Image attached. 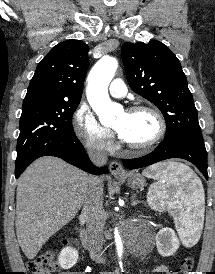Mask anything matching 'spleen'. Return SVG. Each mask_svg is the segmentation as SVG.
<instances>
[{
  "mask_svg": "<svg viewBox=\"0 0 215 274\" xmlns=\"http://www.w3.org/2000/svg\"><path fill=\"white\" fill-rule=\"evenodd\" d=\"M143 175L157 180L147 193L149 206L167 210L174 218L181 240L195 243L202 229L205 193L199 178L186 165L177 162L156 164Z\"/></svg>",
  "mask_w": 215,
  "mask_h": 274,
  "instance_id": "1",
  "label": "spleen"
}]
</instances>
